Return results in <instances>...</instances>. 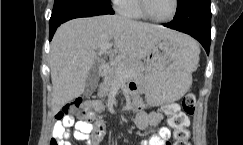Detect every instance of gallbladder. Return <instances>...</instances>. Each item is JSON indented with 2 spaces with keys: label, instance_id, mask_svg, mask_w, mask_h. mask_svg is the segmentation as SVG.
<instances>
[{
  "label": "gallbladder",
  "instance_id": "obj_1",
  "mask_svg": "<svg viewBox=\"0 0 243 145\" xmlns=\"http://www.w3.org/2000/svg\"><path fill=\"white\" fill-rule=\"evenodd\" d=\"M99 81V64L95 63L86 78L84 95L90 96L96 89Z\"/></svg>",
  "mask_w": 243,
  "mask_h": 145
}]
</instances>
